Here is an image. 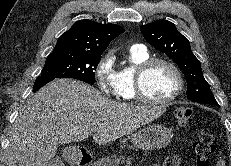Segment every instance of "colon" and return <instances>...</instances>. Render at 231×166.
I'll list each match as a JSON object with an SVG mask.
<instances>
[{"label": "colon", "mask_w": 231, "mask_h": 166, "mask_svg": "<svg viewBox=\"0 0 231 166\" xmlns=\"http://www.w3.org/2000/svg\"><path fill=\"white\" fill-rule=\"evenodd\" d=\"M174 116L181 125L188 123L194 116V110L188 106L175 108ZM216 150V139L209 130H202L193 141L196 166H209L210 160ZM180 158L171 156L167 158L163 166H180ZM50 166H63L61 163H53Z\"/></svg>", "instance_id": "1"}]
</instances>
